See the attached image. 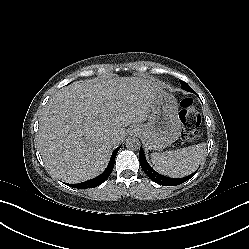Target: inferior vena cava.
<instances>
[{
  "label": "inferior vena cava",
  "instance_id": "inferior-vena-cava-1",
  "mask_svg": "<svg viewBox=\"0 0 249 249\" xmlns=\"http://www.w3.org/2000/svg\"><path fill=\"white\" fill-rule=\"evenodd\" d=\"M113 141H114V142L117 141V137H114V138H113Z\"/></svg>",
  "mask_w": 249,
  "mask_h": 249
}]
</instances>
